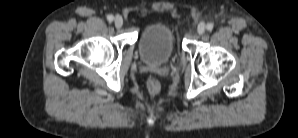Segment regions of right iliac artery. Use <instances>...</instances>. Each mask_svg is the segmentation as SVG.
I'll return each instance as SVG.
<instances>
[{"mask_svg":"<svg viewBox=\"0 0 298 138\" xmlns=\"http://www.w3.org/2000/svg\"><path fill=\"white\" fill-rule=\"evenodd\" d=\"M113 19H114L113 15H108V16H107V20H108L109 22H112Z\"/></svg>","mask_w":298,"mask_h":138,"instance_id":"1","label":"right iliac artery"}]
</instances>
